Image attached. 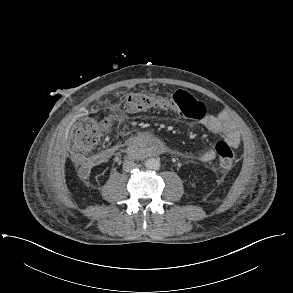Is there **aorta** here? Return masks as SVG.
Instances as JSON below:
<instances>
[{
    "label": "aorta",
    "instance_id": "aorta-1",
    "mask_svg": "<svg viewBox=\"0 0 293 293\" xmlns=\"http://www.w3.org/2000/svg\"><path fill=\"white\" fill-rule=\"evenodd\" d=\"M145 167L147 169L158 170L160 168V161L156 158L146 160Z\"/></svg>",
    "mask_w": 293,
    "mask_h": 293
}]
</instances>
